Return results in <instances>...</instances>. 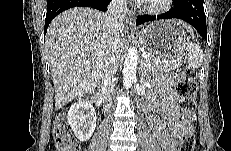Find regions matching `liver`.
Here are the masks:
<instances>
[{"label":"liver","instance_id":"obj_1","mask_svg":"<svg viewBox=\"0 0 231 151\" xmlns=\"http://www.w3.org/2000/svg\"><path fill=\"white\" fill-rule=\"evenodd\" d=\"M180 26L188 28L183 21ZM126 28L109 33L106 13L76 7L55 17L49 25L45 50L55 89V109L98 87L104 76L107 51L116 43L120 53Z\"/></svg>","mask_w":231,"mask_h":151}]
</instances>
